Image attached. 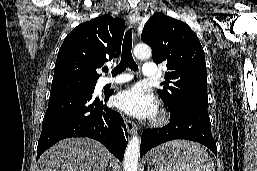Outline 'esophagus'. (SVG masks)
I'll use <instances>...</instances> for the list:
<instances>
[{
	"label": "esophagus",
	"instance_id": "1",
	"mask_svg": "<svg viewBox=\"0 0 257 171\" xmlns=\"http://www.w3.org/2000/svg\"><path fill=\"white\" fill-rule=\"evenodd\" d=\"M129 21H130V24L133 28L136 27V25L139 23L140 21V13L138 11L137 8H134L132 9V11L130 12V15H129ZM135 35V33H134ZM125 124H126V129H127V132L129 134H134L136 133L137 131V126L134 122H132L131 120H126L125 121Z\"/></svg>",
	"mask_w": 257,
	"mask_h": 171
}]
</instances>
